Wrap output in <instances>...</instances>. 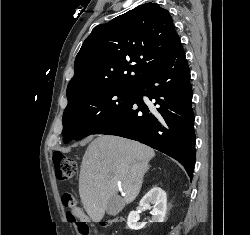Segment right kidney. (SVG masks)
Segmentation results:
<instances>
[{
  "instance_id": "obj_1",
  "label": "right kidney",
  "mask_w": 250,
  "mask_h": 235,
  "mask_svg": "<svg viewBox=\"0 0 250 235\" xmlns=\"http://www.w3.org/2000/svg\"><path fill=\"white\" fill-rule=\"evenodd\" d=\"M152 205V207L150 206ZM141 208L151 210L152 222H163L167 209V195L160 187H153L139 203ZM140 216L137 211H131L127 219V225L132 230H140L145 224L138 223Z\"/></svg>"
}]
</instances>
